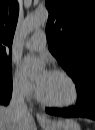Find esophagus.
Masks as SVG:
<instances>
[{
  "label": "esophagus",
  "instance_id": "obj_1",
  "mask_svg": "<svg viewBox=\"0 0 95 130\" xmlns=\"http://www.w3.org/2000/svg\"><path fill=\"white\" fill-rule=\"evenodd\" d=\"M37 118H38V120H45L46 119L45 115H43L42 113H38Z\"/></svg>",
  "mask_w": 95,
  "mask_h": 130
}]
</instances>
